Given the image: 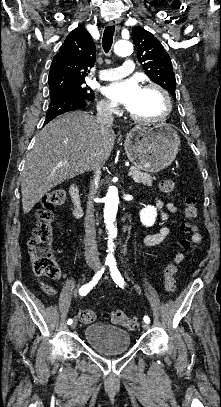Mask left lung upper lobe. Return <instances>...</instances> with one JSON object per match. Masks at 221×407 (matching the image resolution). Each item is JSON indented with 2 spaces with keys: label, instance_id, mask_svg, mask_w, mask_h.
Instances as JSON below:
<instances>
[{
  "label": "left lung upper lobe",
  "instance_id": "left-lung-upper-lobe-1",
  "mask_svg": "<svg viewBox=\"0 0 221 407\" xmlns=\"http://www.w3.org/2000/svg\"><path fill=\"white\" fill-rule=\"evenodd\" d=\"M132 38L137 47V58L146 75L165 88L176 100V79L172 62L160 41L141 27L132 28Z\"/></svg>",
  "mask_w": 221,
  "mask_h": 407
}]
</instances>
